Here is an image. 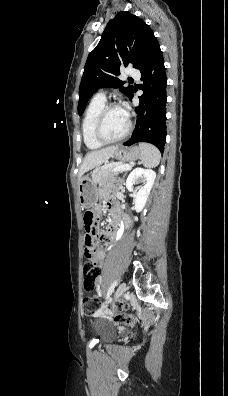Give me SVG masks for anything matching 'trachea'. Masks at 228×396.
I'll return each mask as SVG.
<instances>
[{
	"instance_id": "1",
	"label": "trachea",
	"mask_w": 228,
	"mask_h": 396,
	"mask_svg": "<svg viewBox=\"0 0 228 396\" xmlns=\"http://www.w3.org/2000/svg\"><path fill=\"white\" fill-rule=\"evenodd\" d=\"M129 81H131V82H132V81H133V79H129Z\"/></svg>"
}]
</instances>
